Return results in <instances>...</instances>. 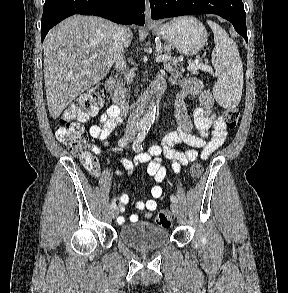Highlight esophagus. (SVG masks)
Here are the masks:
<instances>
[{
	"label": "esophagus",
	"mask_w": 288,
	"mask_h": 293,
	"mask_svg": "<svg viewBox=\"0 0 288 293\" xmlns=\"http://www.w3.org/2000/svg\"><path fill=\"white\" fill-rule=\"evenodd\" d=\"M145 22L147 25H152L154 23L151 19V8L148 0H146L145 5Z\"/></svg>",
	"instance_id": "obj_1"
}]
</instances>
